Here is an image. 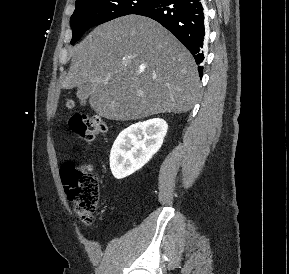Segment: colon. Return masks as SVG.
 <instances>
[{
  "label": "colon",
  "instance_id": "5ec220e1",
  "mask_svg": "<svg viewBox=\"0 0 289 274\" xmlns=\"http://www.w3.org/2000/svg\"><path fill=\"white\" fill-rule=\"evenodd\" d=\"M74 107L73 100L68 101ZM71 129L87 142L107 130V124L100 116L77 115L71 121ZM61 179L67 198L74 204L75 211L85 224H91L100 199L98 179L90 165H77L67 162L61 167Z\"/></svg>",
  "mask_w": 289,
  "mask_h": 274
}]
</instances>
